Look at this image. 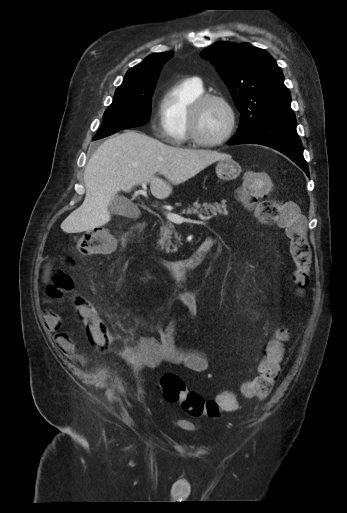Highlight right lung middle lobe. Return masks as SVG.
<instances>
[{
	"label": "right lung middle lobe",
	"mask_w": 347,
	"mask_h": 513,
	"mask_svg": "<svg viewBox=\"0 0 347 513\" xmlns=\"http://www.w3.org/2000/svg\"><path fill=\"white\" fill-rule=\"evenodd\" d=\"M155 87L156 82L138 88H117L112 104L103 115L104 122L93 140L146 124L150 119Z\"/></svg>",
	"instance_id": "obj_1"
}]
</instances>
